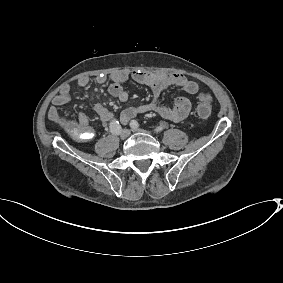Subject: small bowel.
I'll list each match as a JSON object with an SVG mask.
<instances>
[{"label": "small bowel", "mask_w": 283, "mask_h": 283, "mask_svg": "<svg viewBox=\"0 0 283 283\" xmlns=\"http://www.w3.org/2000/svg\"><path fill=\"white\" fill-rule=\"evenodd\" d=\"M130 79L139 84L149 86L152 90L153 99L149 103L124 109L120 114V120L124 124L128 123L138 114L147 112H154L164 119L180 122L190 113V100L185 96H178L174 99L172 106L166 107L161 106L158 103V98L162 92L173 86L180 88L188 95H195L199 90L198 84L194 80H191L180 73H153L141 70L128 72L126 70H121L110 75L111 84L108 88L110 95L121 102H126L128 100V93L125 91L123 85ZM107 80L108 77L103 74L97 76L95 79L96 83L100 85L106 83ZM77 84L79 87H86L89 84V78L82 76L78 79ZM70 99V87L65 84L60 88L59 93L52 100V106L48 111V117L51 121L59 125H65V121L59 112V107L67 104ZM94 110L103 124H108L112 121L113 113L104 105L96 104ZM77 122L81 126L89 128L88 119L84 113L78 115Z\"/></svg>", "instance_id": "obj_1"}]
</instances>
